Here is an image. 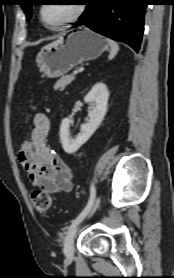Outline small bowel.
<instances>
[{"instance_id": "small-bowel-1", "label": "small bowel", "mask_w": 174, "mask_h": 278, "mask_svg": "<svg viewBox=\"0 0 174 278\" xmlns=\"http://www.w3.org/2000/svg\"><path fill=\"white\" fill-rule=\"evenodd\" d=\"M50 119L37 113L33 119L31 138L33 149L17 154L18 161L28 174L30 183L48 194L69 192L73 188V173L59 154L47 144Z\"/></svg>"}]
</instances>
